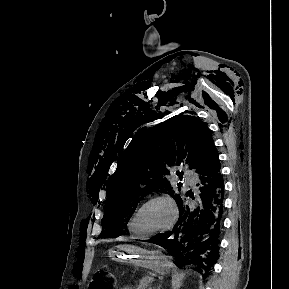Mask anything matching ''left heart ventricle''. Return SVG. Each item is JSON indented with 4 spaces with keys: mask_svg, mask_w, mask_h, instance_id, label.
I'll use <instances>...</instances> for the list:
<instances>
[{
    "mask_svg": "<svg viewBox=\"0 0 289 289\" xmlns=\"http://www.w3.org/2000/svg\"><path fill=\"white\" fill-rule=\"evenodd\" d=\"M171 219V210L163 201H154L143 208L137 218L139 230L149 233L164 228Z\"/></svg>",
    "mask_w": 289,
    "mask_h": 289,
    "instance_id": "b2bd125f",
    "label": "left heart ventricle"
}]
</instances>
